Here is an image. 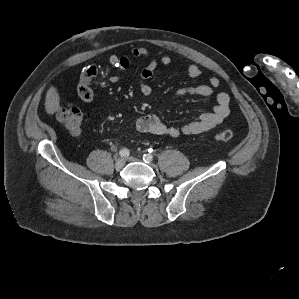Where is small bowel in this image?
<instances>
[{"label":"small bowel","mask_w":299,"mask_h":299,"mask_svg":"<svg viewBox=\"0 0 299 299\" xmlns=\"http://www.w3.org/2000/svg\"><path fill=\"white\" fill-rule=\"evenodd\" d=\"M131 55L137 58H149L150 52L144 47H136L131 50ZM110 65L115 69L113 74L108 75L111 83H117L122 78L123 73L129 68L130 59L128 56L111 55L109 58ZM172 63L169 56L151 58L148 65L140 73L139 89L144 96L152 93L151 86L147 80L152 77L154 71L159 65L168 66ZM187 74L191 78H198L202 75V70L195 64H190L186 68ZM98 73L96 66L85 68L81 75V80L77 88V94L81 101L90 103L94 99V91L91 87V81ZM219 86V80L211 77L207 84L183 87L176 91L177 97L184 96H212ZM215 106L212 111L200 114L195 120L182 126H168L159 116L149 114L140 117L136 122V128L142 133L153 135H162L169 137H178L180 135H196L215 128L222 123L230 114V97L225 92L215 94Z\"/></svg>","instance_id":"small-bowel-1"}]
</instances>
